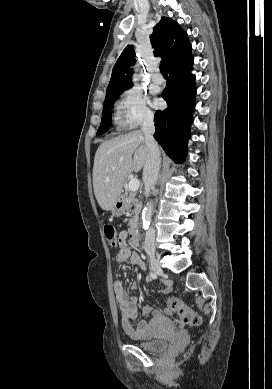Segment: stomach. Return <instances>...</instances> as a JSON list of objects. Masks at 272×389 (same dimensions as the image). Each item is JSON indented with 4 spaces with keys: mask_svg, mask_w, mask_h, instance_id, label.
<instances>
[{
    "mask_svg": "<svg viewBox=\"0 0 272 389\" xmlns=\"http://www.w3.org/2000/svg\"><path fill=\"white\" fill-rule=\"evenodd\" d=\"M125 210V200L121 196L117 199L115 202L113 208L111 209V212L114 216H121L124 213Z\"/></svg>",
    "mask_w": 272,
    "mask_h": 389,
    "instance_id": "0dacf381",
    "label": "stomach"
}]
</instances>
